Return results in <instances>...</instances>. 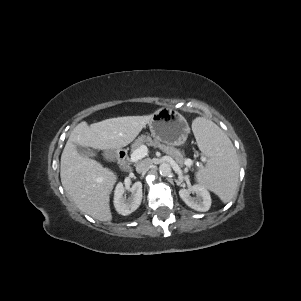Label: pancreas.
<instances>
[{"instance_id": "obj_1", "label": "pancreas", "mask_w": 301, "mask_h": 301, "mask_svg": "<svg viewBox=\"0 0 301 301\" xmlns=\"http://www.w3.org/2000/svg\"><path fill=\"white\" fill-rule=\"evenodd\" d=\"M141 145H147V146H153V147L159 148L164 153H166V154L170 155L172 158H174V160L180 166H183V164L186 160L183 157L182 153L178 149H176L172 146L162 144L159 141L153 140L151 137L145 136V135H141L138 137V139L135 140V142L131 145V151L133 152L134 150L139 148Z\"/></svg>"}]
</instances>
